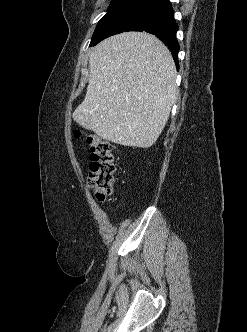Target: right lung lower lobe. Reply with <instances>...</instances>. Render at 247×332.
<instances>
[{
    "instance_id": "obj_1",
    "label": "right lung lower lobe",
    "mask_w": 247,
    "mask_h": 332,
    "mask_svg": "<svg viewBox=\"0 0 247 332\" xmlns=\"http://www.w3.org/2000/svg\"><path fill=\"white\" fill-rule=\"evenodd\" d=\"M178 25L174 19V11L169 0H151L127 13L109 27L99 37L103 39L124 31H145L157 36L172 52L177 69L180 46L176 39Z\"/></svg>"
}]
</instances>
